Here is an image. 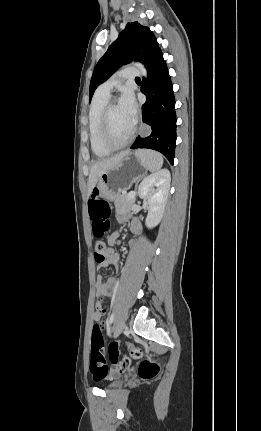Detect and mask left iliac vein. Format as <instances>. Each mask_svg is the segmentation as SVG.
Here are the masks:
<instances>
[{"label":"left iliac vein","instance_id":"left-iliac-vein-1","mask_svg":"<svg viewBox=\"0 0 261 431\" xmlns=\"http://www.w3.org/2000/svg\"><path fill=\"white\" fill-rule=\"evenodd\" d=\"M125 325H126V323H125L124 319H121L117 323V325L115 326V329H114V336L115 337H117L122 332V330L125 328Z\"/></svg>","mask_w":261,"mask_h":431}]
</instances>
